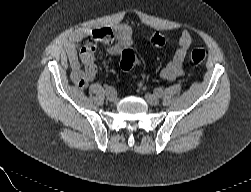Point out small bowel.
<instances>
[{
    "label": "small bowel",
    "mask_w": 251,
    "mask_h": 192,
    "mask_svg": "<svg viewBox=\"0 0 251 192\" xmlns=\"http://www.w3.org/2000/svg\"><path fill=\"white\" fill-rule=\"evenodd\" d=\"M82 38L76 34L66 45L71 67V80L78 88H85L94 79L96 74L95 51L98 42L107 44V51L112 55L122 53L132 42V32L129 26L119 25L114 28H99L91 33L87 44L77 52V44ZM194 40L189 32L183 30L179 37V46L172 59L160 71V76L165 80H175L183 75V64L188 49ZM80 61L85 69L81 68Z\"/></svg>",
    "instance_id": "1"
}]
</instances>
